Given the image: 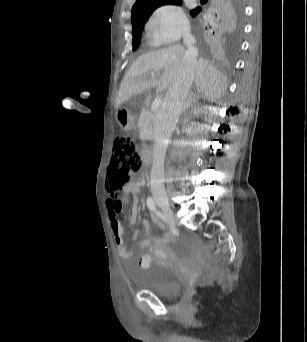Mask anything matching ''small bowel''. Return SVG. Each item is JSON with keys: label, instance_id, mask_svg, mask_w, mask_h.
<instances>
[{"label": "small bowel", "instance_id": "1", "mask_svg": "<svg viewBox=\"0 0 307 342\" xmlns=\"http://www.w3.org/2000/svg\"><path fill=\"white\" fill-rule=\"evenodd\" d=\"M144 178L140 177L136 181L131 182L126 187V192L132 196V203H131V215H130V222L135 223L138 217V207H137V194L140 192V187L144 184ZM109 219H110V227L113 234L114 242L117 247V251L120 257L124 259H130L132 257L131 250L127 247L125 236H124V229L121 221L117 217V212L114 206H107ZM153 221L160 227L163 228L162 223L159 221L156 215H152ZM142 224L145 227V238L143 241L138 243L139 249L150 248L152 252H157L158 250L164 248V246L170 241V236L168 234H163L160 237L154 238L150 235V228L148 222L145 219L141 220ZM138 239V231H136L133 235V241L137 242ZM150 257L143 256L140 259L141 267L145 268L148 266Z\"/></svg>", "mask_w": 307, "mask_h": 342}]
</instances>
